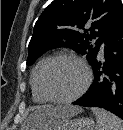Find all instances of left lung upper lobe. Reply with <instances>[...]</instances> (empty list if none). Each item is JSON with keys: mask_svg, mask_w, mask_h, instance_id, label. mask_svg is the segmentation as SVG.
<instances>
[{"mask_svg": "<svg viewBox=\"0 0 123 130\" xmlns=\"http://www.w3.org/2000/svg\"><path fill=\"white\" fill-rule=\"evenodd\" d=\"M122 17L120 0H54L35 24L27 65L55 47H68L86 55L91 64ZM96 37L99 39L92 45L90 40Z\"/></svg>", "mask_w": 123, "mask_h": 130, "instance_id": "obj_1", "label": "left lung upper lobe"}]
</instances>
